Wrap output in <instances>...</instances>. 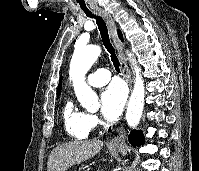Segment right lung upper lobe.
I'll return each instance as SVG.
<instances>
[{
	"instance_id": "obj_1",
	"label": "right lung upper lobe",
	"mask_w": 199,
	"mask_h": 171,
	"mask_svg": "<svg viewBox=\"0 0 199 171\" xmlns=\"http://www.w3.org/2000/svg\"><path fill=\"white\" fill-rule=\"evenodd\" d=\"M118 35H119V38L122 40L123 39V36H122V33L120 30H118ZM61 87H62V76L60 77V81H59V85H58V89H57V97L60 95L61 93Z\"/></svg>"
}]
</instances>
